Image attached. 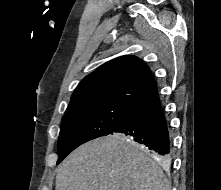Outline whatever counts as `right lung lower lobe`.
<instances>
[{
  "mask_svg": "<svg viewBox=\"0 0 221 190\" xmlns=\"http://www.w3.org/2000/svg\"><path fill=\"white\" fill-rule=\"evenodd\" d=\"M113 133L132 136L134 141L164 160L171 157L170 125L159 94L136 107Z\"/></svg>",
  "mask_w": 221,
  "mask_h": 190,
  "instance_id": "1",
  "label": "right lung lower lobe"
}]
</instances>
